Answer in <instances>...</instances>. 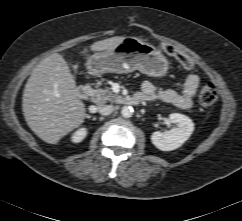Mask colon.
Wrapping results in <instances>:
<instances>
[{
  "mask_svg": "<svg viewBox=\"0 0 242 221\" xmlns=\"http://www.w3.org/2000/svg\"><path fill=\"white\" fill-rule=\"evenodd\" d=\"M161 49L166 54L173 56L185 70H192L194 68L192 59L175 46L163 43L161 44ZM198 97L202 105H213L217 100V90L215 85L211 82L201 83L198 88Z\"/></svg>",
  "mask_w": 242,
  "mask_h": 221,
  "instance_id": "5ec220e1",
  "label": "colon"
}]
</instances>
